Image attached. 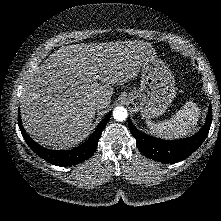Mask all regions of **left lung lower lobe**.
I'll use <instances>...</instances> for the list:
<instances>
[{
    "label": "left lung lower lobe",
    "mask_w": 221,
    "mask_h": 221,
    "mask_svg": "<svg viewBox=\"0 0 221 221\" xmlns=\"http://www.w3.org/2000/svg\"><path fill=\"white\" fill-rule=\"evenodd\" d=\"M212 122L211 106L208 109L205 125L195 135L180 140H163L144 134L137 130L128 119L131 133L136 138L139 150L148 158L163 162L176 163L186 159L197 150L208 135Z\"/></svg>",
    "instance_id": "left-lung-lower-lobe-1"
}]
</instances>
